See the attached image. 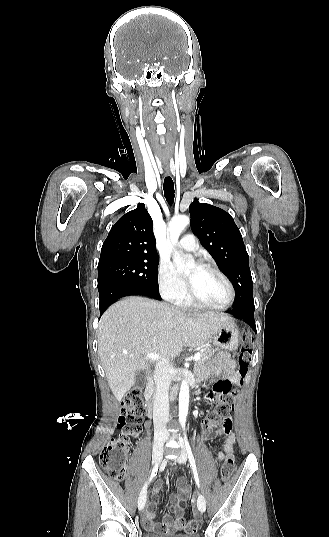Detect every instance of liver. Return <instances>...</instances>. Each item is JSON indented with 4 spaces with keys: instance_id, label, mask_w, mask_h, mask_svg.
<instances>
[{
    "instance_id": "6515ba94",
    "label": "liver",
    "mask_w": 329,
    "mask_h": 537,
    "mask_svg": "<svg viewBox=\"0 0 329 537\" xmlns=\"http://www.w3.org/2000/svg\"><path fill=\"white\" fill-rule=\"evenodd\" d=\"M232 319L225 315L186 313L143 297L111 305L98 327V353L110 389L118 401L131 389L139 370L149 366L148 353L168 359L184 347L204 345Z\"/></svg>"
}]
</instances>
